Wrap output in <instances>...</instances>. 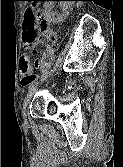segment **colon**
I'll use <instances>...</instances> for the list:
<instances>
[{
  "instance_id": "5ec220e1",
  "label": "colon",
  "mask_w": 123,
  "mask_h": 167,
  "mask_svg": "<svg viewBox=\"0 0 123 167\" xmlns=\"http://www.w3.org/2000/svg\"><path fill=\"white\" fill-rule=\"evenodd\" d=\"M46 24L42 19L38 7H33L25 12L23 19L22 40L28 53L23 58L22 69L25 71L29 64V52L35 44L43 37ZM38 62H35L37 64Z\"/></svg>"
}]
</instances>
